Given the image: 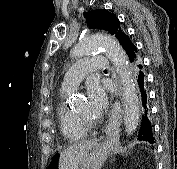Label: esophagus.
Instances as JSON below:
<instances>
[{"mask_svg": "<svg viewBox=\"0 0 177 169\" xmlns=\"http://www.w3.org/2000/svg\"><path fill=\"white\" fill-rule=\"evenodd\" d=\"M110 126H111V124H109V126H108V130H109ZM107 133H108V131H107Z\"/></svg>", "mask_w": 177, "mask_h": 169, "instance_id": "34e87169", "label": "esophagus"}]
</instances>
